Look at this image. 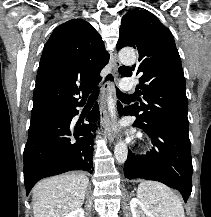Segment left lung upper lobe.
Returning <instances> with one entry per match:
<instances>
[{"mask_svg":"<svg viewBox=\"0 0 211 217\" xmlns=\"http://www.w3.org/2000/svg\"><path fill=\"white\" fill-rule=\"evenodd\" d=\"M138 50L139 62L122 66L120 74L136 75L143 101L128 107L142 124H165L188 133L187 97L181 59L174 38L157 17L146 10L128 11L121 20L117 50Z\"/></svg>","mask_w":211,"mask_h":217,"instance_id":"1","label":"left lung upper lobe"}]
</instances>
